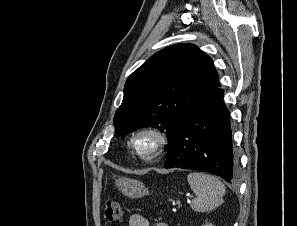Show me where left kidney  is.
<instances>
[{
  "mask_svg": "<svg viewBox=\"0 0 297 226\" xmlns=\"http://www.w3.org/2000/svg\"><path fill=\"white\" fill-rule=\"evenodd\" d=\"M202 226H214L213 224H211V223H207V224H205V225H202Z\"/></svg>",
  "mask_w": 297,
  "mask_h": 226,
  "instance_id": "5707ae66",
  "label": "left kidney"
}]
</instances>
